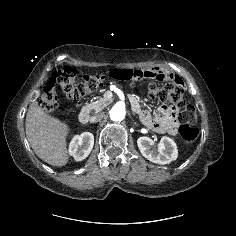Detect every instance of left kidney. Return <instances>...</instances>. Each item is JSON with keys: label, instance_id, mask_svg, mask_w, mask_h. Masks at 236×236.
<instances>
[{"label": "left kidney", "instance_id": "left-kidney-1", "mask_svg": "<svg viewBox=\"0 0 236 236\" xmlns=\"http://www.w3.org/2000/svg\"><path fill=\"white\" fill-rule=\"evenodd\" d=\"M153 140L149 137H139L137 140L141 154L153 163L160 165L169 164L176 160L178 150L176 143L167 136H163L158 144V150L153 147Z\"/></svg>", "mask_w": 236, "mask_h": 236}]
</instances>
